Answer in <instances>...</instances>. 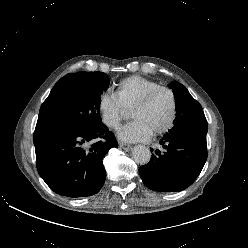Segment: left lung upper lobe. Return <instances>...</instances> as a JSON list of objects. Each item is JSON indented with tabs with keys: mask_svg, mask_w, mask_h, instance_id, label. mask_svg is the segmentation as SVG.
Listing matches in <instances>:
<instances>
[{
	"mask_svg": "<svg viewBox=\"0 0 248 248\" xmlns=\"http://www.w3.org/2000/svg\"><path fill=\"white\" fill-rule=\"evenodd\" d=\"M169 87L173 90L176 99L177 113L174 126L167 134L178 131L206 134L208 123L200 103L190 95L184 85L177 81L171 82Z\"/></svg>",
	"mask_w": 248,
	"mask_h": 248,
	"instance_id": "left-lung-upper-lobe-1",
	"label": "left lung upper lobe"
}]
</instances>
